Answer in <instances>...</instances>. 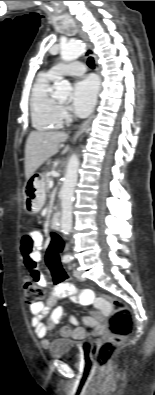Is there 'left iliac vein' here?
<instances>
[{
	"mask_svg": "<svg viewBox=\"0 0 155 395\" xmlns=\"http://www.w3.org/2000/svg\"><path fill=\"white\" fill-rule=\"evenodd\" d=\"M74 276L78 279V280H83L82 277L80 276L79 272L77 270H74L73 272Z\"/></svg>",
	"mask_w": 155,
	"mask_h": 395,
	"instance_id": "1",
	"label": "left iliac vein"
}]
</instances>
